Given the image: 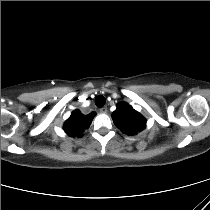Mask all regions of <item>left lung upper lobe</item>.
Segmentation results:
<instances>
[{
	"mask_svg": "<svg viewBox=\"0 0 210 210\" xmlns=\"http://www.w3.org/2000/svg\"><path fill=\"white\" fill-rule=\"evenodd\" d=\"M112 118L115 125L128 135H135L146 125V120L127 103L118 104Z\"/></svg>",
	"mask_w": 210,
	"mask_h": 210,
	"instance_id": "left-lung-upper-lobe-1",
	"label": "left lung upper lobe"
}]
</instances>
